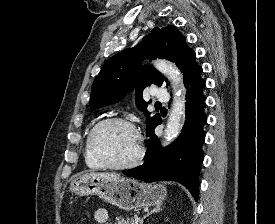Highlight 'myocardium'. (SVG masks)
Listing matches in <instances>:
<instances>
[{
	"label": "myocardium",
	"mask_w": 275,
	"mask_h": 224,
	"mask_svg": "<svg viewBox=\"0 0 275 224\" xmlns=\"http://www.w3.org/2000/svg\"><path fill=\"white\" fill-rule=\"evenodd\" d=\"M113 123H120L123 125H126L127 127H129L135 134V137L137 139L138 142V148H137V153L134 156L133 159H131L130 161L126 162V163H122V164H114L109 162L99 151L98 147H97V136L98 133L100 132V130L105 127L106 125L109 124H113ZM88 142H89V148L90 151L92 153V155L94 156V158L105 168L108 169H113V170H126V169H130L133 168L135 166H137L143 159L144 157V153H145V149H144V142H143V137L138 129V127L129 119L122 117V116H109L106 118H103L102 120L98 121L93 128L90 130L89 133V138H88Z\"/></svg>",
	"instance_id": "1"
}]
</instances>
